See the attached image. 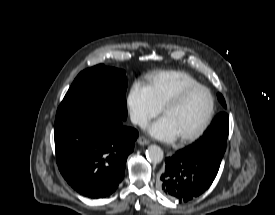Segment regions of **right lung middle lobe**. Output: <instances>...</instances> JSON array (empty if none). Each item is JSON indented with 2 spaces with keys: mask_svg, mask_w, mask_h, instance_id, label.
Masks as SVG:
<instances>
[{
  "mask_svg": "<svg viewBox=\"0 0 275 215\" xmlns=\"http://www.w3.org/2000/svg\"><path fill=\"white\" fill-rule=\"evenodd\" d=\"M127 79L124 70L103 64L81 72L58 107L55 121L78 117L97 109H108L127 117Z\"/></svg>",
  "mask_w": 275,
  "mask_h": 215,
  "instance_id": "right-lung-middle-lobe-1",
  "label": "right lung middle lobe"
}]
</instances>
